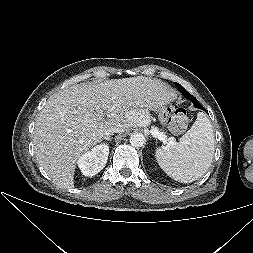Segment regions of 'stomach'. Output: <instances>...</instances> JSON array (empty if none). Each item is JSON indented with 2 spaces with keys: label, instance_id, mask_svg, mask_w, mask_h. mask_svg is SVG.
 Segmentation results:
<instances>
[{
  "label": "stomach",
  "instance_id": "1",
  "mask_svg": "<svg viewBox=\"0 0 253 253\" xmlns=\"http://www.w3.org/2000/svg\"><path fill=\"white\" fill-rule=\"evenodd\" d=\"M159 112L158 121L162 126H167L169 124L168 119V107L166 105H163L158 108L157 110Z\"/></svg>",
  "mask_w": 253,
  "mask_h": 253
}]
</instances>
